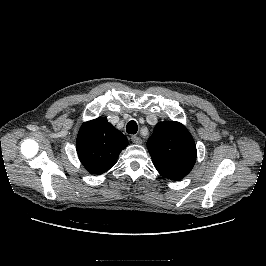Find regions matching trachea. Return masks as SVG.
Returning a JSON list of instances; mask_svg holds the SVG:
<instances>
[{"instance_id":"trachea-1","label":"trachea","mask_w":266,"mask_h":266,"mask_svg":"<svg viewBox=\"0 0 266 266\" xmlns=\"http://www.w3.org/2000/svg\"><path fill=\"white\" fill-rule=\"evenodd\" d=\"M126 131L128 134H136L138 131V125L134 120L128 122L126 126Z\"/></svg>"}]
</instances>
